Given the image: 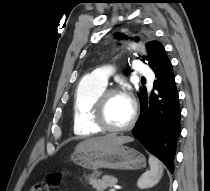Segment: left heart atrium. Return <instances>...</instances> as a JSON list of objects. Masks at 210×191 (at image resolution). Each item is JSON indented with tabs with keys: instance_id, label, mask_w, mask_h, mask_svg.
I'll return each instance as SVG.
<instances>
[{
	"instance_id": "39dd6f15",
	"label": "left heart atrium",
	"mask_w": 210,
	"mask_h": 191,
	"mask_svg": "<svg viewBox=\"0 0 210 191\" xmlns=\"http://www.w3.org/2000/svg\"><path fill=\"white\" fill-rule=\"evenodd\" d=\"M122 96L129 102L132 104V98L131 95L128 92H124L122 93Z\"/></svg>"
}]
</instances>
